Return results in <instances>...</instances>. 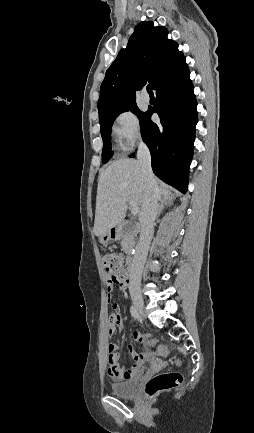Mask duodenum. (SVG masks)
<instances>
[{"label":"duodenum","mask_w":254,"mask_h":433,"mask_svg":"<svg viewBox=\"0 0 254 433\" xmlns=\"http://www.w3.org/2000/svg\"><path fill=\"white\" fill-rule=\"evenodd\" d=\"M124 224L130 225V222H126ZM119 232H120V227L119 226L114 227L112 229V236L114 238H117L118 235H119ZM126 263H127L128 269H129V273H133V270H134V259H133V257L129 256L128 259H127V261H126Z\"/></svg>","instance_id":"duodenum-1"}]
</instances>
